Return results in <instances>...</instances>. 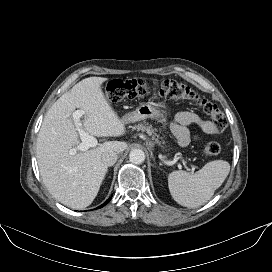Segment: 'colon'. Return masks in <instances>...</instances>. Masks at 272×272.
<instances>
[{
  "label": "colon",
  "instance_id": "colon-1",
  "mask_svg": "<svg viewBox=\"0 0 272 272\" xmlns=\"http://www.w3.org/2000/svg\"><path fill=\"white\" fill-rule=\"evenodd\" d=\"M151 92L172 100L194 101L210 117L218 131H223L227 127V118L217 105L201 98L190 87L176 80L166 79L150 82L142 78L115 79L110 81L105 89L106 97L114 102L143 97ZM220 151L219 143L214 141L207 143L204 148V152L208 157L217 156Z\"/></svg>",
  "mask_w": 272,
  "mask_h": 272
}]
</instances>
